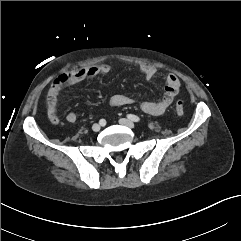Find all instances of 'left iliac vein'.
<instances>
[{"instance_id":"1","label":"left iliac vein","mask_w":241,"mask_h":241,"mask_svg":"<svg viewBox=\"0 0 241 241\" xmlns=\"http://www.w3.org/2000/svg\"><path fill=\"white\" fill-rule=\"evenodd\" d=\"M119 123L121 125H124V126L128 127V128H134V123L132 121L128 120V119L122 118V119L119 120Z\"/></svg>"}]
</instances>
